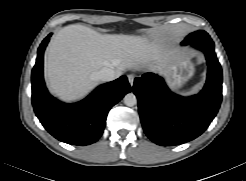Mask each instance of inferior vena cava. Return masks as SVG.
Returning <instances> with one entry per match:
<instances>
[{"mask_svg":"<svg viewBox=\"0 0 246 181\" xmlns=\"http://www.w3.org/2000/svg\"><path fill=\"white\" fill-rule=\"evenodd\" d=\"M94 77L97 80L107 82L112 81L117 77V74L113 68L110 67H103L98 72L94 73Z\"/></svg>","mask_w":246,"mask_h":181,"instance_id":"inferior-vena-cava-1","label":"inferior vena cava"}]
</instances>
